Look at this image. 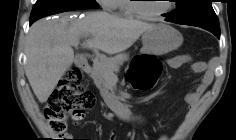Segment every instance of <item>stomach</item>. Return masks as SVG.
<instances>
[{"label": "stomach", "mask_w": 236, "mask_h": 140, "mask_svg": "<svg viewBox=\"0 0 236 140\" xmlns=\"http://www.w3.org/2000/svg\"><path fill=\"white\" fill-rule=\"evenodd\" d=\"M144 55H163L178 49L183 43V36L174 27L159 23L142 35Z\"/></svg>", "instance_id": "1"}]
</instances>
